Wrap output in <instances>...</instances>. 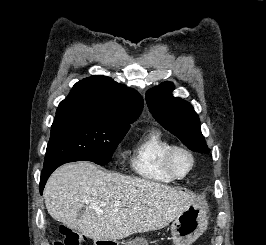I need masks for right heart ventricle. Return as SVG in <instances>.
<instances>
[{
    "label": "right heart ventricle",
    "mask_w": 266,
    "mask_h": 245,
    "mask_svg": "<svg viewBox=\"0 0 266 245\" xmlns=\"http://www.w3.org/2000/svg\"><path fill=\"white\" fill-rule=\"evenodd\" d=\"M174 145L159 128L147 129L134 143L130 165L133 171L149 183L169 185L175 179L166 169L165 153Z\"/></svg>",
    "instance_id": "right-heart-ventricle-1"
}]
</instances>
